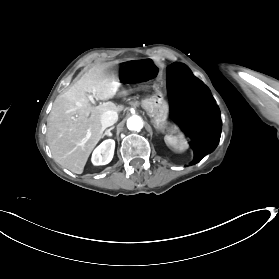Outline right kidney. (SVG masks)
<instances>
[{
  "label": "right kidney",
  "mask_w": 279,
  "mask_h": 279,
  "mask_svg": "<svg viewBox=\"0 0 279 279\" xmlns=\"http://www.w3.org/2000/svg\"><path fill=\"white\" fill-rule=\"evenodd\" d=\"M115 142L108 139L102 142L93 152L92 162L95 165H105L112 160L114 154Z\"/></svg>",
  "instance_id": "ca27d5eb"
}]
</instances>
